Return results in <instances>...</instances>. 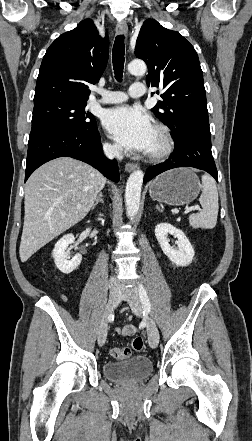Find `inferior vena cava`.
Here are the masks:
<instances>
[{"label": "inferior vena cava", "mask_w": 252, "mask_h": 441, "mask_svg": "<svg viewBox=\"0 0 252 441\" xmlns=\"http://www.w3.org/2000/svg\"><path fill=\"white\" fill-rule=\"evenodd\" d=\"M103 150H104V154L109 159H114V158H116L118 160L122 159V151L119 147L105 145L103 147ZM109 288H110L111 292H121L122 291L121 285L118 283V281L114 277L110 278Z\"/></svg>", "instance_id": "602c4592"}]
</instances>
